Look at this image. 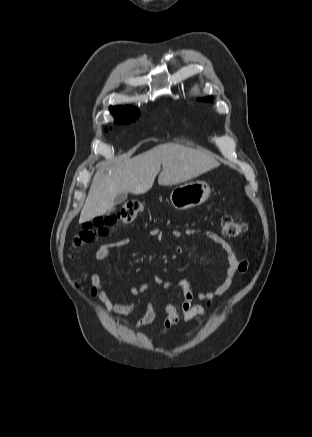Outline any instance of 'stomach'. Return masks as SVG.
Masks as SVG:
<instances>
[{
	"instance_id": "stomach-1",
	"label": "stomach",
	"mask_w": 312,
	"mask_h": 437,
	"mask_svg": "<svg viewBox=\"0 0 312 437\" xmlns=\"http://www.w3.org/2000/svg\"><path fill=\"white\" fill-rule=\"evenodd\" d=\"M210 193L211 189L206 182H187L172 190L170 202L177 210H187L203 204Z\"/></svg>"
}]
</instances>
